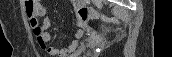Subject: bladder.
Returning a JSON list of instances; mask_svg holds the SVG:
<instances>
[{
    "mask_svg": "<svg viewBox=\"0 0 172 57\" xmlns=\"http://www.w3.org/2000/svg\"><path fill=\"white\" fill-rule=\"evenodd\" d=\"M85 56H88L87 54H84V53H82V54H76V57H85Z\"/></svg>",
    "mask_w": 172,
    "mask_h": 57,
    "instance_id": "1",
    "label": "bladder"
}]
</instances>
